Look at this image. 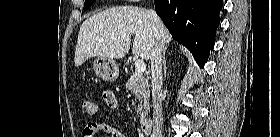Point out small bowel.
Returning <instances> with one entry per match:
<instances>
[{
  "mask_svg": "<svg viewBox=\"0 0 280 137\" xmlns=\"http://www.w3.org/2000/svg\"><path fill=\"white\" fill-rule=\"evenodd\" d=\"M104 100L109 108H117V100L115 96L113 99L104 98ZM98 133H105L107 134V137H125L119 130L108 123H89L83 130V137H94V135H97Z\"/></svg>",
  "mask_w": 280,
  "mask_h": 137,
  "instance_id": "c3829d8e",
  "label": "small bowel"
}]
</instances>
